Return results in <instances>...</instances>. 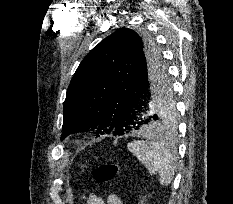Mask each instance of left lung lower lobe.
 Masks as SVG:
<instances>
[{"label":"left lung lower lobe","mask_w":233,"mask_h":204,"mask_svg":"<svg viewBox=\"0 0 233 204\" xmlns=\"http://www.w3.org/2000/svg\"><path fill=\"white\" fill-rule=\"evenodd\" d=\"M169 83L159 56H144L139 60L116 113L115 123L123 128L124 134L137 130L161 132L156 128L154 111Z\"/></svg>","instance_id":"1"}]
</instances>
